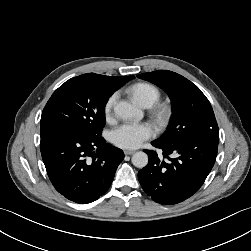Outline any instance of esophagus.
<instances>
[{
    "label": "esophagus",
    "instance_id": "esophagus-1",
    "mask_svg": "<svg viewBox=\"0 0 251 251\" xmlns=\"http://www.w3.org/2000/svg\"><path fill=\"white\" fill-rule=\"evenodd\" d=\"M134 153H135L134 150H124V154H125V155H132V154H134Z\"/></svg>",
    "mask_w": 251,
    "mask_h": 251
}]
</instances>
